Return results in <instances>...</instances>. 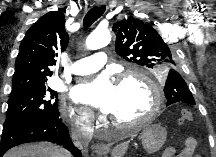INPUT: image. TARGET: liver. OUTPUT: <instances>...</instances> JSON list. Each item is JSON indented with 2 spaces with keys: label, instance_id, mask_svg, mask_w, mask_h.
<instances>
[{
  "label": "liver",
  "instance_id": "liver-1",
  "mask_svg": "<svg viewBox=\"0 0 216 157\" xmlns=\"http://www.w3.org/2000/svg\"><path fill=\"white\" fill-rule=\"evenodd\" d=\"M115 150L113 155L117 154ZM4 157H71L64 148L47 142L24 144L10 149Z\"/></svg>",
  "mask_w": 216,
  "mask_h": 157
}]
</instances>
